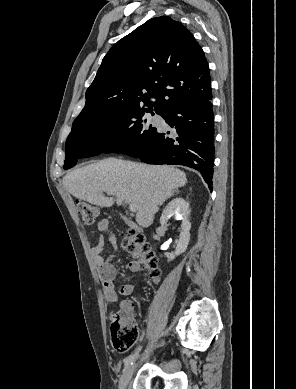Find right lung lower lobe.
Returning a JSON list of instances; mask_svg holds the SVG:
<instances>
[{"label":"right lung lower lobe","mask_w":296,"mask_h":389,"mask_svg":"<svg viewBox=\"0 0 296 389\" xmlns=\"http://www.w3.org/2000/svg\"><path fill=\"white\" fill-rule=\"evenodd\" d=\"M212 94L184 102L165 115L176 134L157 131L147 147L130 154L148 164H177L198 170L212 190L214 114Z\"/></svg>","instance_id":"obj_1"}]
</instances>
